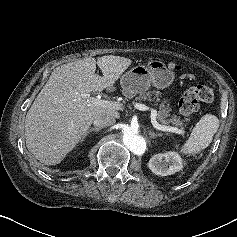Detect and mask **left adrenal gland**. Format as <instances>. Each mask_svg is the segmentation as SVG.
Returning <instances> with one entry per match:
<instances>
[{"mask_svg":"<svg viewBox=\"0 0 237 237\" xmlns=\"http://www.w3.org/2000/svg\"><path fill=\"white\" fill-rule=\"evenodd\" d=\"M149 135H150V138H155V137H161L162 136L161 133L156 134V133L151 132V131L149 132Z\"/></svg>","mask_w":237,"mask_h":237,"instance_id":"1","label":"left adrenal gland"}]
</instances>
